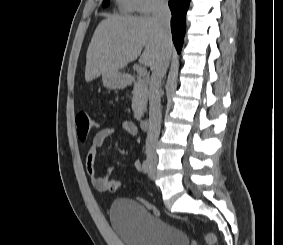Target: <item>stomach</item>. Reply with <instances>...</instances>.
<instances>
[{"instance_id":"stomach-1","label":"stomach","mask_w":283,"mask_h":245,"mask_svg":"<svg viewBox=\"0 0 283 245\" xmlns=\"http://www.w3.org/2000/svg\"><path fill=\"white\" fill-rule=\"evenodd\" d=\"M103 85L108 89H117L124 87L125 76L119 71H107L102 74Z\"/></svg>"}]
</instances>
